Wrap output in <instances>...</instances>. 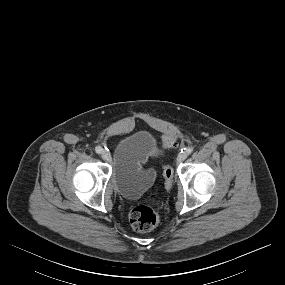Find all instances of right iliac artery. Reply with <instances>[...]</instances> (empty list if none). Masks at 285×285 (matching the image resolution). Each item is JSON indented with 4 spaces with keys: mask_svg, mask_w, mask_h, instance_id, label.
I'll return each instance as SVG.
<instances>
[{
    "mask_svg": "<svg viewBox=\"0 0 285 285\" xmlns=\"http://www.w3.org/2000/svg\"><path fill=\"white\" fill-rule=\"evenodd\" d=\"M95 151H96V153L100 154V153L103 152V148H102L101 146H97V147L95 148Z\"/></svg>",
    "mask_w": 285,
    "mask_h": 285,
    "instance_id": "1",
    "label": "right iliac artery"
}]
</instances>
